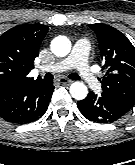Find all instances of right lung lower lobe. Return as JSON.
I'll return each instance as SVG.
<instances>
[{
	"instance_id": "right-lung-lower-lobe-1",
	"label": "right lung lower lobe",
	"mask_w": 135,
	"mask_h": 165,
	"mask_svg": "<svg viewBox=\"0 0 135 165\" xmlns=\"http://www.w3.org/2000/svg\"><path fill=\"white\" fill-rule=\"evenodd\" d=\"M53 89L51 81L2 87L0 117L15 124H26L41 118L48 108Z\"/></svg>"
}]
</instances>
